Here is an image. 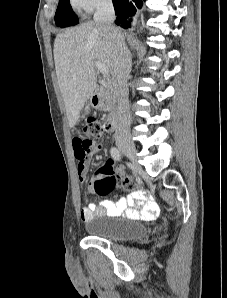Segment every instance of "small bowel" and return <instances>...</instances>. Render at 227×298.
Masks as SVG:
<instances>
[{
	"label": "small bowel",
	"mask_w": 227,
	"mask_h": 298,
	"mask_svg": "<svg viewBox=\"0 0 227 298\" xmlns=\"http://www.w3.org/2000/svg\"><path fill=\"white\" fill-rule=\"evenodd\" d=\"M77 139H71L74 157L78 160L77 172L82 183L86 180L89 165V154L93 151V142H82L83 135L77 134ZM102 145L95 151L102 149ZM84 158V159H78ZM159 214V207L146 190L133 191L128 196L119 197L116 201L102 200L98 204L89 203L80 212L82 221L87 222L97 216H126L131 219L152 220Z\"/></svg>",
	"instance_id": "c3829d8e"
}]
</instances>
